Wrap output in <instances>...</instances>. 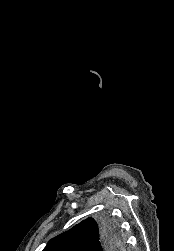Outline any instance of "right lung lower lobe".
<instances>
[{"instance_id":"1","label":"right lung lower lobe","mask_w":174,"mask_h":251,"mask_svg":"<svg viewBox=\"0 0 174 251\" xmlns=\"http://www.w3.org/2000/svg\"><path fill=\"white\" fill-rule=\"evenodd\" d=\"M100 233V241L98 245L95 246L93 251H117L121 248V242L118 235V231L111 222L107 220L102 221L100 225ZM118 242L120 243V248L117 250H113V244Z\"/></svg>"}]
</instances>
